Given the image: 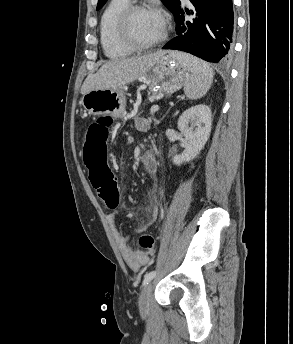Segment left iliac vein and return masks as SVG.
<instances>
[{
	"label": "left iliac vein",
	"mask_w": 293,
	"mask_h": 344,
	"mask_svg": "<svg viewBox=\"0 0 293 344\" xmlns=\"http://www.w3.org/2000/svg\"><path fill=\"white\" fill-rule=\"evenodd\" d=\"M151 294H152V284L148 283L142 289L140 297H139V302H138L139 310L142 315L147 314L149 310Z\"/></svg>",
	"instance_id": "obj_1"
}]
</instances>
